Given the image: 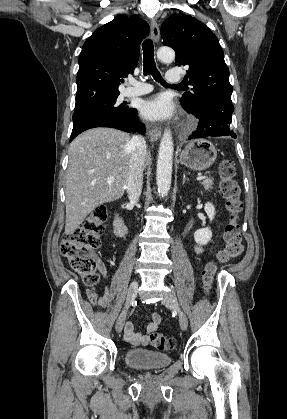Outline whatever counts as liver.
<instances>
[{"instance_id": "1", "label": "liver", "mask_w": 287, "mask_h": 419, "mask_svg": "<svg viewBox=\"0 0 287 419\" xmlns=\"http://www.w3.org/2000/svg\"><path fill=\"white\" fill-rule=\"evenodd\" d=\"M130 140L125 132L94 128L71 142L65 179L66 235L73 234L100 204L122 197L132 155ZM145 162H150L148 154ZM110 177L114 181L109 183Z\"/></svg>"}]
</instances>
